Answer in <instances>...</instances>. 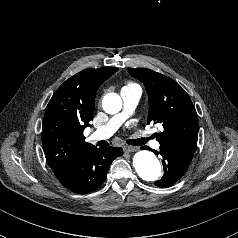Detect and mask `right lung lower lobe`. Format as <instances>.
Returning <instances> with one entry per match:
<instances>
[{
  "label": "right lung lower lobe",
  "mask_w": 238,
  "mask_h": 238,
  "mask_svg": "<svg viewBox=\"0 0 238 238\" xmlns=\"http://www.w3.org/2000/svg\"><path fill=\"white\" fill-rule=\"evenodd\" d=\"M122 154V148L94 147L84 153L73 166L56 177L74 193H90L102 185L110 164Z\"/></svg>",
  "instance_id": "obj_1"
}]
</instances>
